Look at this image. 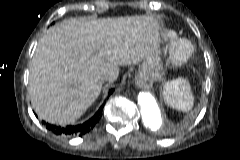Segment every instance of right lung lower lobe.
Wrapping results in <instances>:
<instances>
[{"instance_id": "right-lung-lower-lobe-1", "label": "right lung lower lobe", "mask_w": 240, "mask_h": 160, "mask_svg": "<svg viewBox=\"0 0 240 160\" xmlns=\"http://www.w3.org/2000/svg\"><path fill=\"white\" fill-rule=\"evenodd\" d=\"M113 90L109 92V94L112 93ZM103 105L99 108V110L95 113V115L90 118L88 121H86L83 124H79L76 126H66V127H60L56 125H52L49 123H45V126L47 129L52 131L56 135H66V136H73V135H84L88 133L93 127L96 125V123L99 121V118L102 114Z\"/></svg>"}]
</instances>
